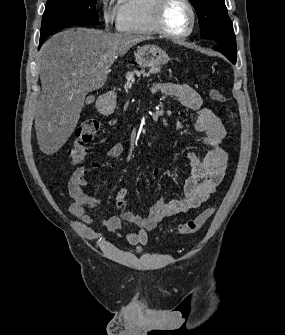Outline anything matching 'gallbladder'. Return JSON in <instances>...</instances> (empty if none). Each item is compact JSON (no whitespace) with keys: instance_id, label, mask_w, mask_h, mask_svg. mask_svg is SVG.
I'll return each mask as SVG.
<instances>
[{"instance_id":"obj_1","label":"gallbladder","mask_w":285,"mask_h":335,"mask_svg":"<svg viewBox=\"0 0 285 335\" xmlns=\"http://www.w3.org/2000/svg\"><path fill=\"white\" fill-rule=\"evenodd\" d=\"M86 104H92V100H91V98H87V100H86Z\"/></svg>"}]
</instances>
